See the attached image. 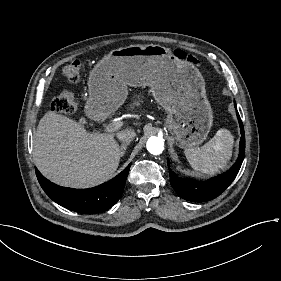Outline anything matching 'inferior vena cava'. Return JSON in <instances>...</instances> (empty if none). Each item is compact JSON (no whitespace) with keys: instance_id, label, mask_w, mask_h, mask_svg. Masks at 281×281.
I'll use <instances>...</instances> for the list:
<instances>
[{"instance_id":"obj_1","label":"inferior vena cava","mask_w":281,"mask_h":281,"mask_svg":"<svg viewBox=\"0 0 281 281\" xmlns=\"http://www.w3.org/2000/svg\"><path fill=\"white\" fill-rule=\"evenodd\" d=\"M117 138L123 142L130 143L136 136L133 129H124L116 134Z\"/></svg>"}]
</instances>
